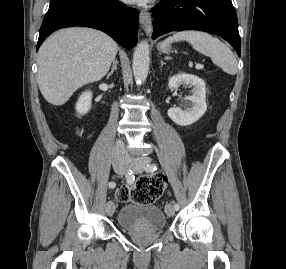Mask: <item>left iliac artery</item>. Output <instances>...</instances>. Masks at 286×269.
Masks as SVG:
<instances>
[{
	"instance_id": "44dca946",
	"label": "left iliac artery",
	"mask_w": 286,
	"mask_h": 269,
	"mask_svg": "<svg viewBox=\"0 0 286 269\" xmlns=\"http://www.w3.org/2000/svg\"><path fill=\"white\" fill-rule=\"evenodd\" d=\"M146 172H154L155 170H157L156 165L154 164H148L145 168ZM174 203V202H173ZM174 209L178 210L179 209V205L177 203H174Z\"/></svg>"
}]
</instances>
